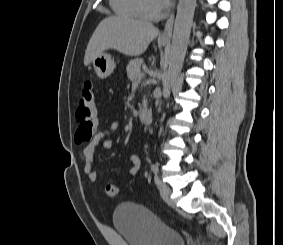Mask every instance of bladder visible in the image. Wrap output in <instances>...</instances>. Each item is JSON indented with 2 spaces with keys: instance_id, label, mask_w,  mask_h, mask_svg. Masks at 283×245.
<instances>
[{
  "instance_id": "bladder-1",
  "label": "bladder",
  "mask_w": 283,
  "mask_h": 245,
  "mask_svg": "<svg viewBox=\"0 0 283 245\" xmlns=\"http://www.w3.org/2000/svg\"><path fill=\"white\" fill-rule=\"evenodd\" d=\"M113 223L128 245H185L179 232L136 203L119 204L113 212Z\"/></svg>"
}]
</instances>
